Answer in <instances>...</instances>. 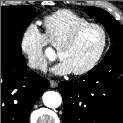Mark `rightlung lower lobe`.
Masks as SVG:
<instances>
[{"mask_svg": "<svg viewBox=\"0 0 123 123\" xmlns=\"http://www.w3.org/2000/svg\"><path fill=\"white\" fill-rule=\"evenodd\" d=\"M48 88L47 79L27 70L21 53L1 48V123H28L32 107Z\"/></svg>", "mask_w": 123, "mask_h": 123, "instance_id": "98d812e1", "label": "right lung lower lobe"}]
</instances>
